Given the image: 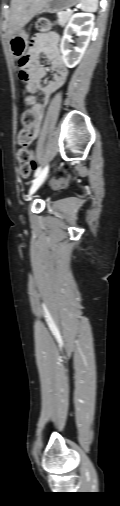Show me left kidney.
I'll list each match as a JSON object with an SVG mask.
<instances>
[{"label": "left kidney", "instance_id": "left-kidney-1", "mask_svg": "<svg viewBox=\"0 0 120 506\" xmlns=\"http://www.w3.org/2000/svg\"><path fill=\"white\" fill-rule=\"evenodd\" d=\"M93 29L94 18L92 15L76 13L70 18L60 44L62 59L67 67L73 68L80 62L91 40ZM74 32L79 36V40L74 51L71 52L69 43L72 42L71 35Z\"/></svg>", "mask_w": 120, "mask_h": 506}]
</instances>
